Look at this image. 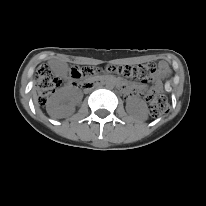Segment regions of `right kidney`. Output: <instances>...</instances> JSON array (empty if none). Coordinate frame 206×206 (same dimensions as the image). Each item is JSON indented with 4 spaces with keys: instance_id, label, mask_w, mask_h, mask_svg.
Masks as SVG:
<instances>
[{
    "instance_id": "1",
    "label": "right kidney",
    "mask_w": 206,
    "mask_h": 206,
    "mask_svg": "<svg viewBox=\"0 0 206 206\" xmlns=\"http://www.w3.org/2000/svg\"><path fill=\"white\" fill-rule=\"evenodd\" d=\"M80 99L77 91L62 90L48 101L46 110L52 117H66L74 112V105Z\"/></svg>"
}]
</instances>
